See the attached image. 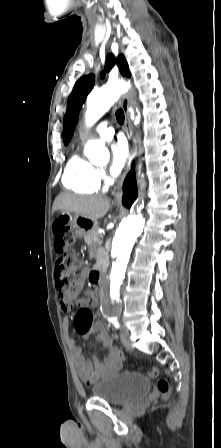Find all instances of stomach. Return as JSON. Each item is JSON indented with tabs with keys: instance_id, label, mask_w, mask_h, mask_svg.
Segmentation results:
<instances>
[{
	"instance_id": "stomach-1",
	"label": "stomach",
	"mask_w": 221,
	"mask_h": 448,
	"mask_svg": "<svg viewBox=\"0 0 221 448\" xmlns=\"http://www.w3.org/2000/svg\"><path fill=\"white\" fill-rule=\"evenodd\" d=\"M70 223L78 238L85 237L91 230L95 229L97 223L81 215H70Z\"/></svg>"
}]
</instances>
